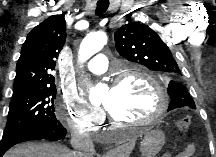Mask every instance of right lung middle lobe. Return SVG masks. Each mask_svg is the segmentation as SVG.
<instances>
[{"instance_id": "obj_1", "label": "right lung middle lobe", "mask_w": 216, "mask_h": 157, "mask_svg": "<svg viewBox=\"0 0 216 157\" xmlns=\"http://www.w3.org/2000/svg\"><path fill=\"white\" fill-rule=\"evenodd\" d=\"M55 87L21 91L12 96L3 137L38 125L57 124Z\"/></svg>"}]
</instances>
